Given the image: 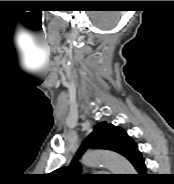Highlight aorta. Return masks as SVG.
<instances>
[{
  "instance_id": "aorta-1",
  "label": "aorta",
  "mask_w": 174,
  "mask_h": 184,
  "mask_svg": "<svg viewBox=\"0 0 174 184\" xmlns=\"http://www.w3.org/2000/svg\"><path fill=\"white\" fill-rule=\"evenodd\" d=\"M84 165L95 167L103 165L113 174H135L130 162L123 156L105 150L88 151L82 158Z\"/></svg>"
}]
</instances>
